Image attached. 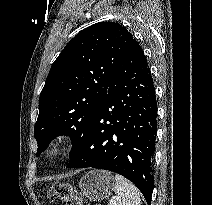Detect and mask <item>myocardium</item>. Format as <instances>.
Returning a JSON list of instances; mask_svg holds the SVG:
<instances>
[{
	"label": "myocardium",
	"instance_id": "obj_1",
	"mask_svg": "<svg viewBox=\"0 0 212 205\" xmlns=\"http://www.w3.org/2000/svg\"><path fill=\"white\" fill-rule=\"evenodd\" d=\"M67 149V141L63 138L53 139L46 150V155L50 160L59 159Z\"/></svg>",
	"mask_w": 212,
	"mask_h": 205
}]
</instances>
